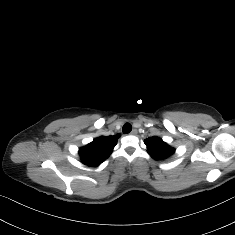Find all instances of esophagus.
<instances>
[{
    "label": "esophagus",
    "mask_w": 235,
    "mask_h": 235,
    "mask_svg": "<svg viewBox=\"0 0 235 235\" xmlns=\"http://www.w3.org/2000/svg\"><path fill=\"white\" fill-rule=\"evenodd\" d=\"M137 133H138L137 129H133L130 134L131 135H136Z\"/></svg>",
    "instance_id": "obj_1"
}]
</instances>
